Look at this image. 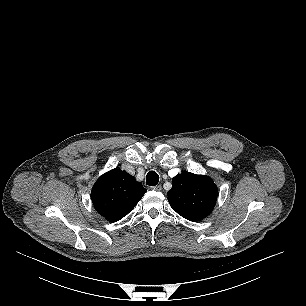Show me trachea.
<instances>
[{"label": "trachea", "instance_id": "1", "mask_svg": "<svg viewBox=\"0 0 306 306\" xmlns=\"http://www.w3.org/2000/svg\"><path fill=\"white\" fill-rule=\"evenodd\" d=\"M159 182V175L155 171L148 172L146 176V184L149 186H155Z\"/></svg>", "mask_w": 306, "mask_h": 306}]
</instances>
